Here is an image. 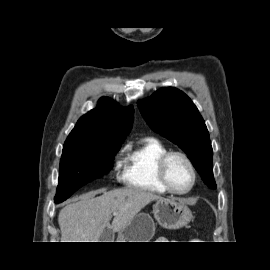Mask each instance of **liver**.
Listing matches in <instances>:
<instances>
[{
  "instance_id": "liver-1",
  "label": "liver",
  "mask_w": 270,
  "mask_h": 270,
  "mask_svg": "<svg viewBox=\"0 0 270 270\" xmlns=\"http://www.w3.org/2000/svg\"><path fill=\"white\" fill-rule=\"evenodd\" d=\"M101 192V196L95 197ZM158 199L162 197L136 188L87 193L59 212L61 242H99L105 228L121 231L141 209ZM112 214L114 218L110 224Z\"/></svg>"
}]
</instances>
